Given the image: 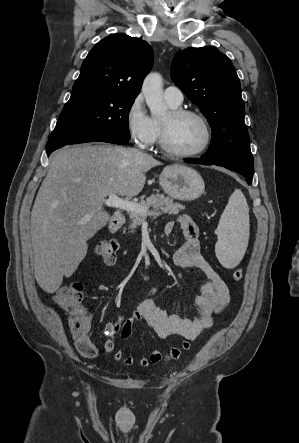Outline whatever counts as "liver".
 I'll list each match as a JSON object with an SVG mask.
<instances>
[{
    "label": "liver",
    "instance_id": "6515ba94",
    "mask_svg": "<svg viewBox=\"0 0 299 443\" xmlns=\"http://www.w3.org/2000/svg\"><path fill=\"white\" fill-rule=\"evenodd\" d=\"M161 163L134 148L111 145L65 147L53 154L31 213L34 274L47 293L56 292L87 254V241L110 220L104 198L137 196L145 173Z\"/></svg>",
    "mask_w": 299,
    "mask_h": 443
}]
</instances>
